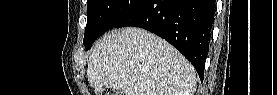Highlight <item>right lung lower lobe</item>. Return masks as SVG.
<instances>
[{
  "label": "right lung lower lobe",
  "instance_id": "98d812e1",
  "mask_svg": "<svg viewBox=\"0 0 277 95\" xmlns=\"http://www.w3.org/2000/svg\"><path fill=\"white\" fill-rule=\"evenodd\" d=\"M215 0H143L115 28L135 26L164 38L195 67L201 81Z\"/></svg>",
  "mask_w": 277,
  "mask_h": 95
}]
</instances>
